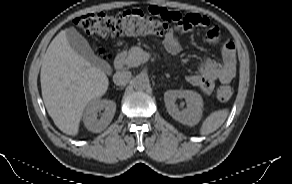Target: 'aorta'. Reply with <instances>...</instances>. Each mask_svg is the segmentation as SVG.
Instances as JSON below:
<instances>
[{
    "label": "aorta",
    "mask_w": 292,
    "mask_h": 184,
    "mask_svg": "<svg viewBox=\"0 0 292 184\" xmlns=\"http://www.w3.org/2000/svg\"><path fill=\"white\" fill-rule=\"evenodd\" d=\"M149 85V78L145 74H139L133 79V87L136 90H146Z\"/></svg>",
    "instance_id": "762f6f07"
}]
</instances>
